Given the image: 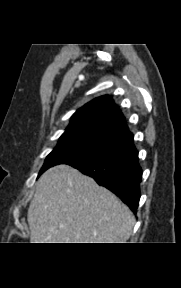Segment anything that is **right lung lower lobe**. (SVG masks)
Masks as SVG:
<instances>
[{
  "instance_id": "98d812e1",
  "label": "right lung lower lobe",
  "mask_w": 181,
  "mask_h": 288,
  "mask_svg": "<svg viewBox=\"0 0 181 288\" xmlns=\"http://www.w3.org/2000/svg\"><path fill=\"white\" fill-rule=\"evenodd\" d=\"M69 165L93 177L99 185L122 199L134 213L137 212L142 170L135 148L114 156L75 161Z\"/></svg>"
}]
</instances>
